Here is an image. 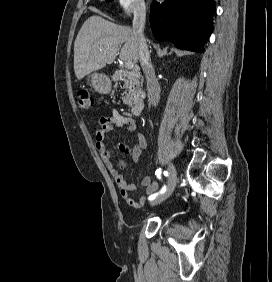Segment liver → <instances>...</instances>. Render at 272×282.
Instances as JSON below:
<instances>
[{
  "mask_svg": "<svg viewBox=\"0 0 272 282\" xmlns=\"http://www.w3.org/2000/svg\"><path fill=\"white\" fill-rule=\"evenodd\" d=\"M122 44L119 58L137 63L139 45L130 27L117 25L100 16L89 17L74 43V71L77 79L113 63Z\"/></svg>",
  "mask_w": 272,
  "mask_h": 282,
  "instance_id": "obj_1",
  "label": "liver"
}]
</instances>
